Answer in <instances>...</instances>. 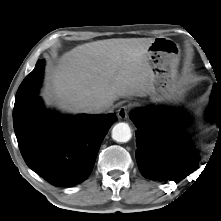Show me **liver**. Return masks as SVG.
Here are the masks:
<instances>
[{"instance_id":"6515ba94","label":"liver","mask_w":221,"mask_h":221,"mask_svg":"<svg viewBox=\"0 0 221 221\" xmlns=\"http://www.w3.org/2000/svg\"><path fill=\"white\" fill-rule=\"evenodd\" d=\"M153 38L107 39L79 45L64 53L50 70L47 98L72 113L88 104H110L120 97H145L152 68L146 53Z\"/></svg>"}]
</instances>
